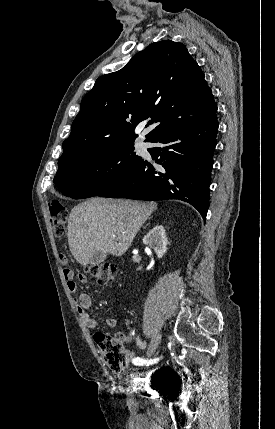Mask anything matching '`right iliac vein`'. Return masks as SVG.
I'll return each mask as SVG.
<instances>
[{"mask_svg":"<svg viewBox=\"0 0 275 429\" xmlns=\"http://www.w3.org/2000/svg\"><path fill=\"white\" fill-rule=\"evenodd\" d=\"M161 341V334H155L152 338L147 355L151 356L155 353Z\"/></svg>","mask_w":275,"mask_h":429,"instance_id":"right-iliac-vein-1","label":"right iliac vein"}]
</instances>
